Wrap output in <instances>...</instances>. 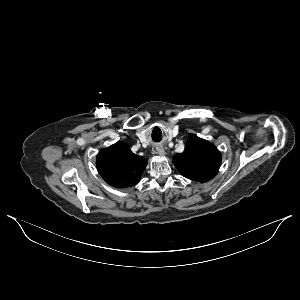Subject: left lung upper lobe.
I'll return each instance as SVG.
<instances>
[{
	"mask_svg": "<svg viewBox=\"0 0 300 300\" xmlns=\"http://www.w3.org/2000/svg\"><path fill=\"white\" fill-rule=\"evenodd\" d=\"M173 163L184 177L204 183L218 173L221 154L212 143L191 134L184 151L173 157Z\"/></svg>",
	"mask_w": 300,
	"mask_h": 300,
	"instance_id": "5c2ea615",
	"label": "left lung upper lobe"
}]
</instances>
